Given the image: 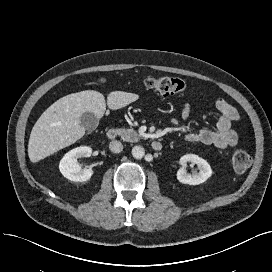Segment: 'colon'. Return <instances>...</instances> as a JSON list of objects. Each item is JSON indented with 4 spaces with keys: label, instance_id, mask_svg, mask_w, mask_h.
<instances>
[{
    "label": "colon",
    "instance_id": "1",
    "mask_svg": "<svg viewBox=\"0 0 272 272\" xmlns=\"http://www.w3.org/2000/svg\"><path fill=\"white\" fill-rule=\"evenodd\" d=\"M144 85L148 90L164 96L175 95L187 89L183 80L169 76L148 77L145 79ZM250 165L251 157L246 151L238 150L233 154L232 166L236 172L243 173Z\"/></svg>",
    "mask_w": 272,
    "mask_h": 272
}]
</instances>
